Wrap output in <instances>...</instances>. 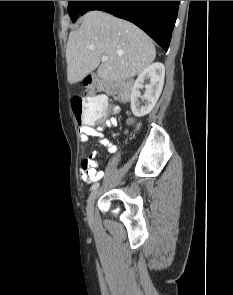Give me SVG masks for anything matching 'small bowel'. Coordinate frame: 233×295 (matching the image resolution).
<instances>
[{
	"mask_svg": "<svg viewBox=\"0 0 233 295\" xmlns=\"http://www.w3.org/2000/svg\"><path fill=\"white\" fill-rule=\"evenodd\" d=\"M107 124L109 126H114L116 121L111 119L107 122ZM90 137L96 138L111 154H115L118 151L117 146L105 137L102 127L84 125L79 128V138L83 145H86ZM97 156L98 153L96 151H92L87 157L83 158L81 162L80 175L87 183L96 182L104 175L103 171L98 170L99 163L97 161Z\"/></svg>",
	"mask_w": 233,
	"mask_h": 295,
	"instance_id": "c3829d8e",
	"label": "small bowel"
}]
</instances>
